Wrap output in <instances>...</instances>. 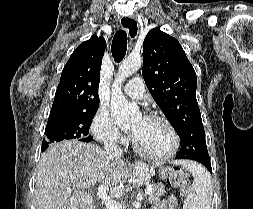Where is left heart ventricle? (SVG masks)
Masks as SVG:
<instances>
[{
  "label": "left heart ventricle",
  "mask_w": 253,
  "mask_h": 209,
  "mask_svg": "<svg viewBox=\"0 0 253 209\" xmlns=\"http://www.w3.org/2000/svg\"><path fill=\"white\" fill-rule=\"evenodd\" d=\"M131 129L137 131L135 138L137 144L150 154H164L172 146V135L167 126L159 120L139 117Z\"/></svg>",
  "instance_id": "obj_1"
}]
</instances>
